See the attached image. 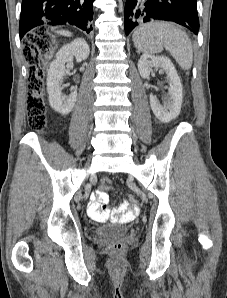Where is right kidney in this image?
<instances>
[{"mask_svg": "<svg viewBox=\"0 0 227 298\" xmlns=\"http://www.w3.org/2000/svg\"><path fill=\"white\" fill-rule=\"evenodd\" d=\"M89 46L84 39H75L70 44L64 45L56 54V59L50 64L47 74V91L50 106L62 115L69 114L76 102L77 91H72L68 96L62 94V80L66 75L65 63L72 62L74 57L77 62L86 60L89 56Z\"/></svg>", "mask_w": 227, "mask_h": 298, "instance_id": "right-kidney-1", "label": "right kidney"}]
</instances>
